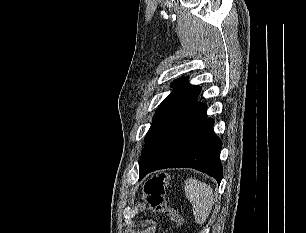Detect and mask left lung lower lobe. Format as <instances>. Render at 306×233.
I'll return each mask as SVG.
<instances>
[{
    "label": "left lung lower lobe",
    "instance_id": "left-lung-lower-lobe-1",
    "mask_svg": "<svg viewBox=\"0 0 306 233\" xmlns=\"http://www.w3.org/2000/svg\"><path fill=\"white\" fill-rule=\"evenodd\" d=\"M206 109L205 103H198L160 139L140 165L139 179L158 169L189 167L221 182L222 142L213 133V119L205 117Z\"/></svg>",
    "mask_w": 306,
    "mask_h": 233
}]
</instances>
